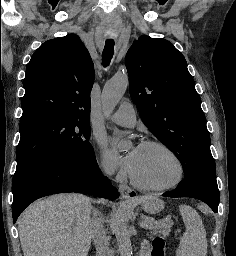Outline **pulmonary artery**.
Masks as SVG:
<instances>
[{"label": "pulmonary artery", "mask_w": 236, "mask_h": 256, "mask_svg": "<svg viewBox=\"0 0 236 256\" xmlns=\"http://www.w3.org/2000/svg\"><path fill=\"white\" fill-rule=\"evenodd\" d=\"M121 107L110 116L112 122L126 127H131L136 122V112L131 108L129 101H122Z\"/></svg>", "instance_id": "e3ab8cb5"}]
</instances>
